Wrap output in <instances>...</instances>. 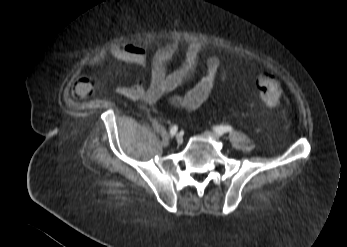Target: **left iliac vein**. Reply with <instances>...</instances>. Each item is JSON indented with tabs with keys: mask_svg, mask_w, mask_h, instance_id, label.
Returning <instances> with one entry per match:
<instances>
[{
	"mask_svg": "<svg viewBox=\"0 0 347 247\" xmlns=\"http://www.w3.org/2000/svg\"><path fill=\"white\" fill-rule=\"evenodd\" d=\"M204 135L207 136V137H211L213 139H216L218 140L220 138V136L212 131H205L204 132Z\"/></svg>",
	"mask_w": 347,
	"mask_h": 247,
	"instance_id": "4c4485c4",
	"label": "left iliac vein"
}]
</instances>
